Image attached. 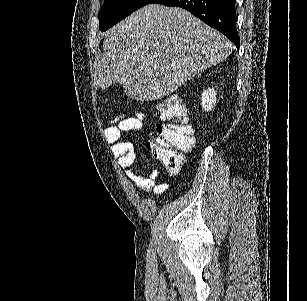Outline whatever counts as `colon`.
Wrapping results in <instances>:
<instances>
[{"mask_svg": "<svg viewBox=\"0 0 307 301\" xmlns=\"http://www.w3.org/2000/svg\"><path fill=\"white\" fill-rule=\"evenodd\" d=\"M157 114L165 123L156 127V135L147 141L146 146L169 173H177L183 159L180 152L190 150L194 145L186 107L178 96L170 95L157 104ZM134 117L142 119L141 115Z\"/></svg>", "mask_w": 307, "mask_h": 301, "instance_id": "5ec220e1", "label": "colon"}]
</instances>
